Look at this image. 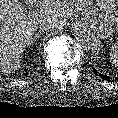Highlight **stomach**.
Returning a JSON list of instances; mask_svg holds the SVG:
<instances>
[{"label":"stomach","instance_id":"1","mask_svg":"<svg viewBox=\"0 0 118 118\" xmlns=\"http://www.w3.org/2000/svg\"><path fill=\"white\" fill-rule=\"evenodd\" d=\"M115 6V0H97L93 10L83 18V22L101 38H111L118 31V11Z\"/></svg>","mask_w":118,"mask_h":118}]
</instances>
